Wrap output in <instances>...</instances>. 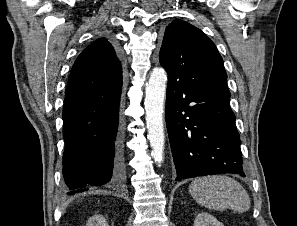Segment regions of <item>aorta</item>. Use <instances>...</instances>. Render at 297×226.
Instances as JSON below:
<instances>
[{"instance_id":"aorta-1","label":"aorta","mask_w":297,"mask_h":226,"mask_svg":"<svg viewBox=\"0 0 297 226\" xmlns=\"http://www.w3.org/2000/svg\"><path fill=\"white\" fill-rule=\"evenodd\" d=\"M167 74L162 68H154L145 88L144 106L148 139L152 148V157L157 163L163 161L164 126L163 112L166 93Z\"/></svg>"}]
</instances>
